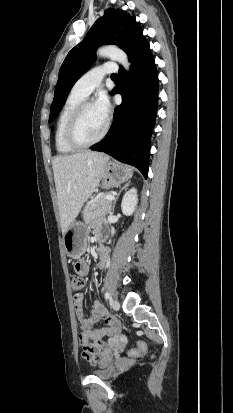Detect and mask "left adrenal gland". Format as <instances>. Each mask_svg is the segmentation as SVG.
I'll use <instances>...</instances> for the list:
<instances>
[{
  "label": "left adrenal gland",
  "mask_w": 233,
  "mask_h": 413,
  "mask_svg": "<svg viewBox=\"0 0 233 413\" xmlns=\"http://www.w3.org/2000/svg\"><path fill=\"white\" fill-rule=\"evenodd\" d=\"M129 184H130V182L126 183V184H125V185H124V186L120 189L119 193L117 194V196H116L115 200L113 201L112 213L114 212V209H115V204H116V202H117V200H118V198H119V196H120L121 192H122L124 189H126V188L129 186Z\"/></svg>",
  "instance_id": "obj_1"
}]
</instances>
